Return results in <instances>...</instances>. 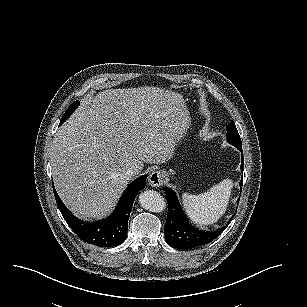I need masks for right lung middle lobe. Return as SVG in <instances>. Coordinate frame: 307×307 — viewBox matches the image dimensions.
<instances>
[{
    "mask_svg": "<svg viewBox=\"0 0 307 307\" xmlns=\"http://www.w3.org/2000/svg\"><path fill=\"white\" fill-rule=\"evenodd\" d=\"M79 105V102L78 101H75L67 110L66 112L64 113L61 121H60V125H62L66 120L67 118L72 114V112L77 108V106Z\"/></svg>",
    "mask_w": 307,
    "mask_h": 307,
    "instance_id": "1",
    "label": "right lung middle lobe"
}]
</instances>
